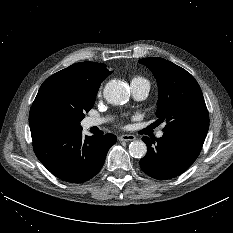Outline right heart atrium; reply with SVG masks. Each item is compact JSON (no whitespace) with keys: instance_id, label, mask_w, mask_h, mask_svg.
<instances>
[{"instance_id":"right-heart-atrium-1","label":"right heart atrium","mask_w":233,"mask_h":233,"mask_svg":"<svg viewBox=\"0 0 233 233\" xmlns=\"http://www.w3.org/2000/svg\"><path fill=\"white\" fill-rule=\"evenodd\" d=\"M101 93V89L99 90V94Z\"/></svg>"}]
</instances>
